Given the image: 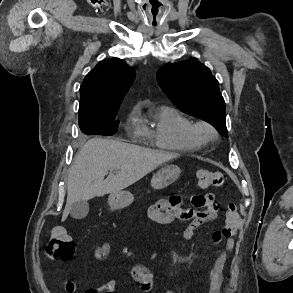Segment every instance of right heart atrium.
I'll list each match as a JSON object with an SVG mask.
<instances>
[{
    "instance_id": "right-heart-atrium-1",
    "label": "right heart atrium",
    "mask_w": 293,
    "mask_h": 293,
    "mask_svg": "<svg viewBox=\"0 0 293 293\" xmlns=\"http://www.w3.org/2000/svg\"><path fill=\"white\" fill-rule=\"evenodd\" d=\"M137 117H138V114L136 111H132L129 116H128V119H127V122H128V125H135L136 121H137Z\"/></svg>"
}]
</instances>
